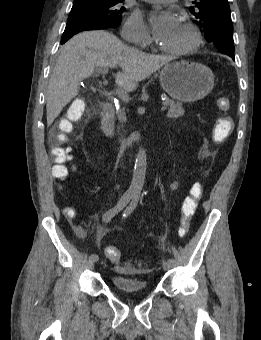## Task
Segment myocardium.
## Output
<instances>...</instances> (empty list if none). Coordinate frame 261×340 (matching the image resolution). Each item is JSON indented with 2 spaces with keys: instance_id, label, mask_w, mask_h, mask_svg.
<instances>
[{
  "instance_id": "1",
  "label": "myocardium",
  "mask_w": 261,
  "mask_h": 340,
  "mask_svg": "<svg viewBox=\"0 0 261 340\" xmlns=\"http://www.w3.org/2000/svg\"><path fill=\"white\" fill-rule=\"evenodd\" d=\"M183 26L190 32L192 36V42L190 43V45L184 48H180V49H169V48L164 47L161 44L159 45V48L163 52H166L172 55H187V54L193 53L199 48L202 42V36H201L199 28L194 23L189 22V21H185L183 23Z\"/></svg>"
}]
</instances>
